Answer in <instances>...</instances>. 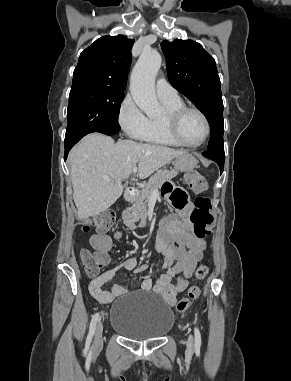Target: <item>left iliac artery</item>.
<instances>
[{
    "instance_id": "1",
    "label": "left iliac artery",
    "mask_w": 291,
    "mask_h": 381,
    "mask_svg": "<svg viewBox=\"0 0 291 381\" xmlns=\"http://www.w3.org/2000/svg\"><path fill=\"white\" fill-rule=\"evenodd\" d=\"M194 333H195V347L199 348L201 346V334L197 327H195Z\"/></svg>"
}]
</instances>
